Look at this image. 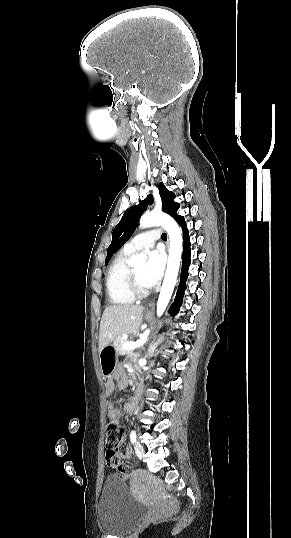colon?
Masks as SVG:
<instances>
[{
    "instance_id": "obj_1",
    "label": "colon",
    "mask_w": 291,
    "mask_h": 538,
    "mask_svg": "<svg viewBox=\"0 0 291 538\" xmlns=\"http://www.w3.org/2000/svg\"><path fill=\"white\" fill-rule=\"evenodd\" d=\"M106 460L109 466L117 468L123 477L131 475L132 467L130 463L121 461L117 454V446L124 438V430L117 419L111 418L106 425Z\"/></svg>"
}]
</instances>
